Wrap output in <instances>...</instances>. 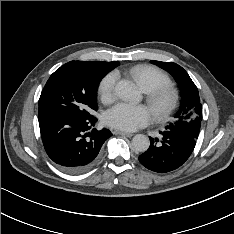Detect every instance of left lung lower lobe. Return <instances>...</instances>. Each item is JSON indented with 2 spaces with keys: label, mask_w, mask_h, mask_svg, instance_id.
Returning a JSON list of instances; mask_svg holds the SVG:
<instances>
[{
  "label": "left lung lower lobe",
  "mask_w": 234,
  "mask_h": 234,
  "mask_svg": "<svg viewBox=\"0 0 234 234\" xmlns=\"http://www.w3.org/2000/svg\"><path fill=\"white\" fill-rule=\"evenodd\" d=\"M160 134V142L150 138V147L139 156V161L149 170L166 173L185 163L196 145V139L180 130L166 129Z\"/></svg>",
  "instance_id": "0a47b994"
}]
</instances>
